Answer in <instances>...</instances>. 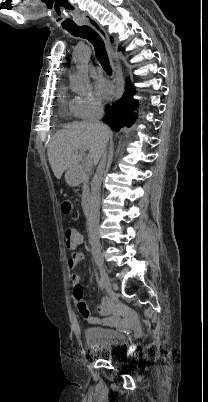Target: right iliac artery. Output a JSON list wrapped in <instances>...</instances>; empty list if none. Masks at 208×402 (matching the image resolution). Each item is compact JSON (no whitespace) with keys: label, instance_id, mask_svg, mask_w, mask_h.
I'll return each mask as SVG.
<instances>
[{"label":"right iliac artery","instance_id":"obj_1","mask_svg":"<svg viewBox=\"0 0 208 402\" xmlns=\"http://www.w3.org/2000/svg\"><path fill=\"white\" fill-rule=\"evenodd\" d=\"M97 281H98V286L101 288V290H104V289H105V286H104L102 280H101V279H98Z\"/></svg>","mask_w":208,"mask_h":402}]
</instances>
